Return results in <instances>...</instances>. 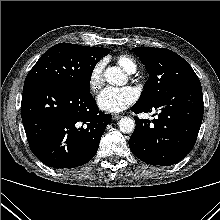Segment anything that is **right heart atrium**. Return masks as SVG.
I'll list each match as a JSON object with an SVG mask.
<instances>
[{"instance_id": "d8ad5b80", "label": "right heart atrium", "mask_w": 220, "mask_h": 220, "mask_svg": "<svg viewBox=\"0 0 220 220\" xmlns=\"http://www.w3.org/2000/svg\"><path fill=\"white\" fill-rule=\"evenodd\" d=\"M104 67H105V61L104 60H99L98 62H96L90 72H89V76H88V84L90 89L93 92L98 91L101 86L103 85L104 79H103V71H104Z\"/></svg>"}]
</instances>
